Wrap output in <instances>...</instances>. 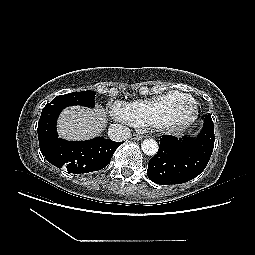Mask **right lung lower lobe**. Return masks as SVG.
<instances>
[{"instance_id":"1","label":"right lung lower lobe","mask_w":255,"mask_h":255,"mask_svg":"<svg viewBox=\"0 0 255 255\" xmlns=\"http://www.w3.org/2000/svg\"><path fill=\"white\" fill-rule=\"evenodd\" d=\"M42 155L56 167L69 173L98 171L108 165L121 143L98 137L87 141H66L58 138L56 126L51 131L38 129Z\"/></svg>"}]
</instances>
